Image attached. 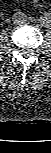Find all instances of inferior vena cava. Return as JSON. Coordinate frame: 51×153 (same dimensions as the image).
<instances>
[{"label": "inferior vena cava", "mask_w": 51, "mask_h": 153, "mask_svg": "<svg viewBox=\"0 0 51 153\" xmlns=\"http://www.w3.org/2000/svg\"><path fill=\"white\" fill-rule=\"evenodd\" d=\"M12 20L14 24H17V25L24 24L27 21V16L26 14L22 12H16L13 14Z\"/></svg>", "instance_id": "602c4592"}]
</instances>
